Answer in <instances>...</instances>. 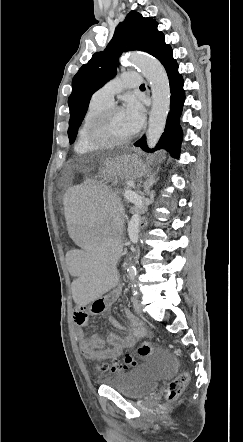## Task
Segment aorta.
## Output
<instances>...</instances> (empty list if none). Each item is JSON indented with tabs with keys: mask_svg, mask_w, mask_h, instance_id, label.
<instances>
[{
	"mask_svg": "<svg viewBox=\"0 0 243 442\" xmlns=\"http://www.w3.org/2000/svg\"><path fill=\"white\" fill-rule=\"evenodd\" d=\"M124 65L138 68L150 83L153 102L146 137L148 147L154 148L164 132L170 109L171 93L167 73L157 59L144 54L127 55Z\"/></svg>",
	"mask_w": 243,
	"mask_h": 442,
	"instance_id": "aorta-1",
	"label": "aorta"
}]
</instances>
